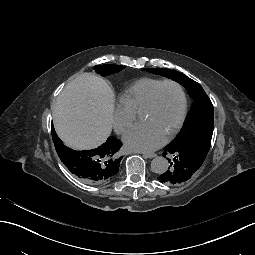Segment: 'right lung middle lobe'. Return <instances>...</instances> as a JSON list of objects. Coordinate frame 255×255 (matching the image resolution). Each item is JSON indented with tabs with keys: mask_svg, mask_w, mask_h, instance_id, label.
Segmentation results:
<instances>
[{
	"mask_svg": "<svg viewBox=\"0 0 255 255\" xmlns=\"http://www.w3.org/2000/svg\"><path fill=\"white\" fill-rule=\"evenodd\" d=\"M95 71L102 76L110 75L111 73H116L124 69V66L107 64V65H97L94 67Z\"/></svg>",
	"mask_w": 255,
	"mask_h": 255,
	"instance_id": "dd1d6c3e",
	"label": "right lung middle lobe"
}]
</instances>
